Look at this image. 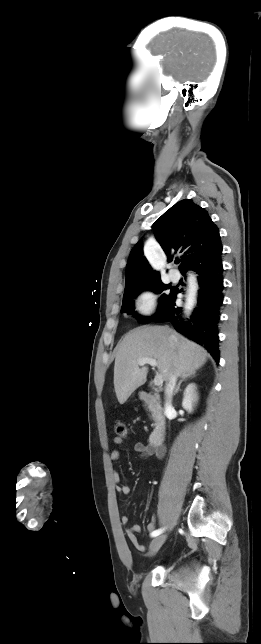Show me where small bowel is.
Returning <instances> with one entry per match:
<instances>
[{
  "instance_id": "1",
  "label": "small bowel",
  "mask_w": 261,
  "mask_h": 644,
  "mask_svg": "<svg viewBox=\"0 0 261 644\" xmlns=\"http://www.w3.org/2000/svg\"><path fill=\"white\" fill-rule=\"evenodd\" d=\"M114 443L116 445H121L123 443V439L116 437L114 439ZM134 451L138 454L140 458H147L152 455H157L159 458L163 456V450L158 449L156 447H153L151 445H146L144 443L138 442L134 445ZM111 459L113 461H117L120 458V452L119 450L115 449L111 452L110 455ZM113 480L117 485V490L123 495H129L131 493V488L128 485L121 484V478L120 474L118 471H114L113 473ZM121 523L123 525H127L129 522V518L126 515H122L121 518ZM156 528V518L155 516L152 517L151 522L148 524V530L149 532L155 531ZM141 531V527L139 524H133L130 527L126 529V536L129 539V541L132 543V545L140 552H144L146 550V546L141 544L138 540L137 534Z\"/></svg>"
}]
</instances>
